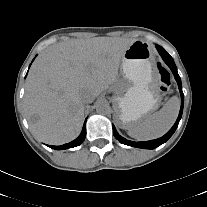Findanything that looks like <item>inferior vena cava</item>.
Masks as SVG:
<instances>
[{
	"label": "inferior vena cava",
	"mask_w": 207,
	"mask_h": 207,
	"mask_svg": "<svg viewBox=\"0 0 207 207\" xmlns=\"http://www.w3.org/2000/svg\"><path fill=\"white\" fill-rule=\"evenodd\" d=\"M81 99H82L83 103H91V102H93V100L95 98H94V96L90 92L83 91L81 93Z\"/></svg>",
	"instance_id": "inferior-vena-cava-1"
}]
</instances>
